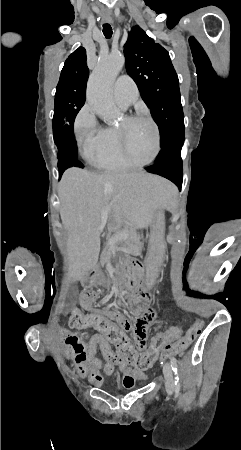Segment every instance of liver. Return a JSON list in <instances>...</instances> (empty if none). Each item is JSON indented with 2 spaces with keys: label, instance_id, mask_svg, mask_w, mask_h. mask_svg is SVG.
<instances>
[{
  "label": "liver",
  "instance_id": "1",
  "mask_svg": "<svg viewBox=\"0 0 241 450\" xmlns=\"http://www.w3.org/2000/svg\"><path fill=\"white\" fill-rule=\"evenodd\" d=\"M169 182L153 174H95L69 168L58 186L60 216L68 230L70 270L76 280L97 266L100 234L123 218L135 226L151 222L158 206L167 204Z\"/></svg>",
  "mask_w": 241,
  "mask_h": 450
}]
</instances>
